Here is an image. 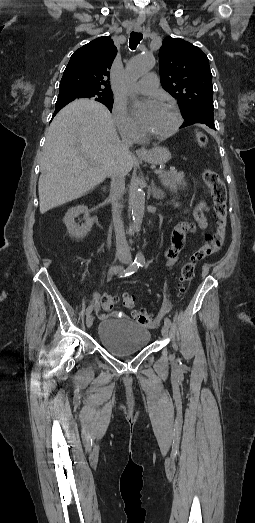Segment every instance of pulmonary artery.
Segmentation results:
<instances>
[{"label":"pulmonary artery","mask_w":255,"mask_h":523,"mask_svg":"<svg viewBox=\"0 0 255 523\" xmlns=\"http://www.w3.org/2000/svg\"><path fill=\"white\" fill-rule=\"evenodd\" d=\"M137 89L139 92H143L144 96L147 98H150L153 95L158 96L162 92V89L158 84L157 75L153 71L148 72L146 76L140 78V81L137 84Z\"/></svg>","instance_id":"pulmonary-artery-1"}]
</instances>
